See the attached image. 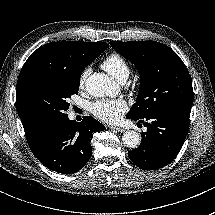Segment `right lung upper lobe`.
<instances>
[{
	"label": "right lung upper lobe",
	"instance_id": "1",
	"mask_svg": "<svg viewBox=\"0 0 215 215\" xmlns=\"http://www.w3.org/2000/svg\"><path fill=\"white\" fill-rule=\"evenodd\" d=\"M108 47L105 42H51L35 50L27 59L18 76L17 110L27 140L40 129L28 115L24 97L34 85L53 82L63 76H80L85 67Z\"/></svg>",
	"mask_w": 215,
	"mask_h": 215
}]
</instances>
